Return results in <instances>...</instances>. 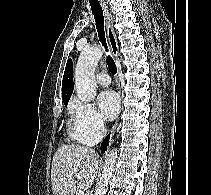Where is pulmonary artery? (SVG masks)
Returning a JSON list of instances; mask_svg holds the SVG:
<instances>
[{"instance_id":"pulmonary-artery-1","label":"pulmonary artery","mask_w":211,"mask_h":195,"mask_svg":"<svg viewBox=\"0 0 211 195\" xmlns=\"http://www.w3.org/2000/svg\"><path fill=\"white\" fill-rule=\"evenodd\" d=\"M96 81L102 87H107L111 83V79H110L109 75L107 73H105V72L99 73L96 76Z\"/></svg>"}]
</instances>
